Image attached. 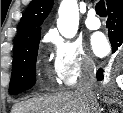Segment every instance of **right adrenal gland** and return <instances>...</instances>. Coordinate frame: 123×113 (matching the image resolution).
Returning <instances> with one entry per match:
<instances>
[{"mask_svg": "<svg viewBox=\"0 0 123 113\" xmlns=\"http://www.w3.org/2000/svg\"><path fill=\"white\" fill-rule=\"evenodd\" d=\"M103 111V108L99 109V113H101Z\"/></svg>", "mask_w": 123, "mask_h": 113, "instance_id": "1", "label": "right adrenal gland"}]
</instances>
